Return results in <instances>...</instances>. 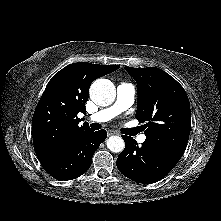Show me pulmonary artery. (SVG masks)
Listing matches in <instances>:
<instances>
[{"label":"pulmonary artery","mask_w":221,"mask_h":221,"mask_svg":"<svg viewBox=\"0 0 221 221\" xmlns=\"http://www.w3.org/2000/svg\"><path fill=\"white\" fill-rule=\"evenodd\" d=\"M117 97L115 103L105 109H102L89 117V120L96 123L108 122L121 112L128 109L135 99V88L128 83H119L116 88ZM146 139L145 135H140L138 141L143 143Z\"/></svg>","instance_id":"pulmonary-artery-1"}]
</instances>
